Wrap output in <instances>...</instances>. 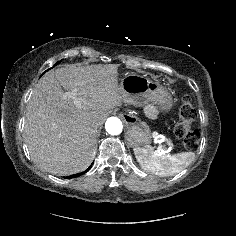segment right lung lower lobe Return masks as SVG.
<instances>
[{"mask_svg": "<svg viewBox=\"0 0 236 236\" xmlns=\"http://www.w3.org/2000/svg\"><path fill=\"white\" fill-rule=\"evenodd\" d=\"M91 167H92V165L86 171H84L82 173H78V174H74V175H71V176H67L65 178H69L70 179V178L78 177V176L84 174L85 172H87Z\"/></svg>", "mask_w": 236, "mask_h": 236, "instance_id": "right-lung-lower-lobe-1", "label": "right lung lower lobe"}]
</instances>
